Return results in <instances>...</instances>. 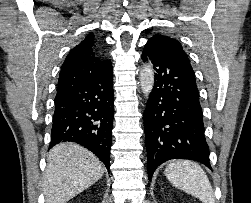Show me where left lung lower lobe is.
Instances as JSON below:
<instances>
[{
  "mask_svg": "<svg viewBox=\"0 0 251 203\" xmlns=\"http://www.w3.org/2000/svg\"><path fill=\"white\" fill-rule=\"evenodd\" d=\"M143 61L151 60L155 82L144 112L148 178L170 159L198 161L211 169L202 108L189 62L163 46L147 42Z\"/></svg>",
  "mask_w": 251,
  "mask_h": 203,
  "instance_id": "1",
  "label": "left lung lower lobe"
}]
</instances>
